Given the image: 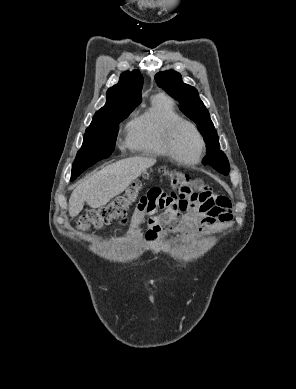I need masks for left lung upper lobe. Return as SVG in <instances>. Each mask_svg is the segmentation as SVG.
<instances>
[{
    "label": "left lung upper lobe",
    "instance_id": "5c2ea615",
    "mask_svg": "<svg viewBox=\"0 0 296 389\" xmlns=\"http://www.w3.org/2000/svg\"><path fill=\"white\" fill-rule=\"evenodd\" d=\"M156 83L181 104V111L193 119L207 144V155L203 164L210 165L218 172L228 175L230 171L226 155L219 150V138L210 119L209 112L199 98L196 88L182 82L181 75L174 70L159 72Z\"/></svg>",
    "mask_w": 296,
    "mask_h": 389
}]
</instances>
